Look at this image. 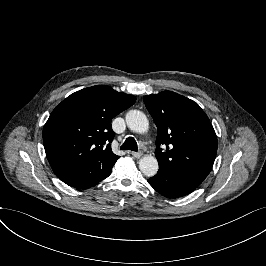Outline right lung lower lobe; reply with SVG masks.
Returning <instances> with one entry per match:
<instances>
[{
	"instance_id": "right-lung-lower-lobe-1",
	"label": "right lung lower lobe",
	"mask_w": 266,
	"mask_h": 266,
	"mask_svg": "<svg viewBox=\"0 0 266 266\" xmlns=\"http://www.w3.org/2000/svg\"><path fill=\"white\" fill-rule=\"evenodd\" d=\"M111 171H109L108 173H106L105 175H103L102 177H100L99 179H95V180H91L89 182H86L80 186H77L75 188L77 189H86V188H90V187H93L95 186L99 181L107 178L109 175H110Z\"/></svg>"
}]
</instances>
